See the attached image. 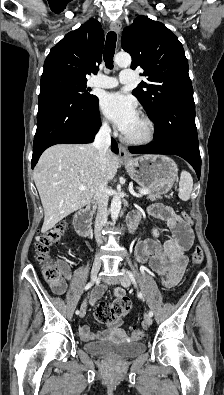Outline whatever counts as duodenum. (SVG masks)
<instances>
[{
  "label": "duodenum",
  "instance_id": "obj_1",
  "mask_svg": "<svg viewBox=\"0 0 224 395\" xmlns=\"http://www.w3.org/2000/svg\"><path fill=\"white\" fill-rule=\"evenodd\" d=\"M93 210H94V205L89 204L84 209H82L80 212H78V214L75 216V219H74L75 229H76L78 235L83 238H87L89 236L90 219H91ZM139 216L140 215L138 213H133L127 217L126 222H127V226H128L130 233L134 232V230L136 228L137 221L139 219Z\"/></svg>",
  "mask_w": 224,
  "mask_h": 395
}]
</instances>
